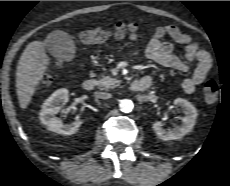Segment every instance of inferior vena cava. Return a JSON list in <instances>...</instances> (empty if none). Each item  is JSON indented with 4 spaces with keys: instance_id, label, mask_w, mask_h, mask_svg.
Returning a JSON list of instances; mask_svg holds the SVG:
<instances>
[{
    "instance_id": "obj_1",
    "label": "inferior vena cava",
    "mask_w": 230,
    "mask_h": 186,
    "mask_svg": "<svg viewBox=\"0 0 230 186\" xmlns=\"http://www.w3.org/2000/svg\"><path fill=\"white\" fill-rule=\"evenodd\" d=\"M111 94L107 92H96L95 97L100 98V99H109L111 98Z\"/></svg>"
}]
</instances>
